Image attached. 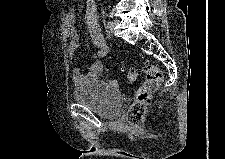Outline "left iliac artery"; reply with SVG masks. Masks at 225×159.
<instances>
[{"mask_svg": "<svg viewBox=\"0 0 225 159\" xmlns=\"http://www.w3.org/2000/svg\"><path fill=\"white\" fill-rule=\"evenodd\" d=\"M111 22H107L106 26L108 27L110 25Z\"/></svg>", "mask_w": 225, "mask_h": 159, "instance_id": "1", "label": "left iliac artery"}]
</instances>
